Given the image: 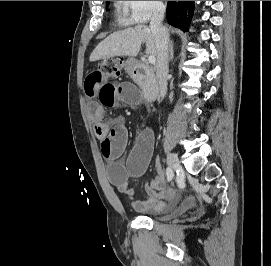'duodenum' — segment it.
I'll list each match as a JSON object with an SVG mask.
<instances>
[{
    "label": "duodenum",
    "instance_id": "1",
    "mask_svg": "<svg viewBox=\"0 0 271 266\" xmlns=\"http://www.w3.org/2000/svg\"><path fill=\"white\" fill-rule=\"evenodd\" d=\"M128 68L134 83L141 87L145 100L155 101L158 97L159 84L154 70L140 60L130 61Z\"/></svg>",
    "mask_w": 271,
    "mask_h": 266
}]
</instances>
